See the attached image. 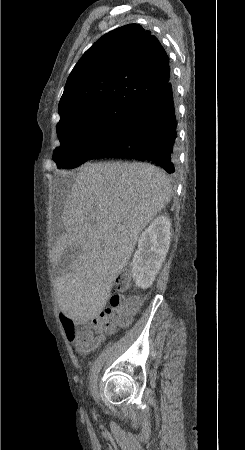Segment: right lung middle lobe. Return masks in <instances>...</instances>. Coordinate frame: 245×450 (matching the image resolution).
I'll return each instance as SVG.
<instances>
[{
  "label": "right lung middle lobe",
  "instance_id": "obj_1",
  "mask_svg": "<svg viewBox=\"0 0 245 450\" xmlns=\"http://www.w3.org/2000/svg\"><path fill=\"white\" fill-rule=\"evenodd\" d=\"M134 108L120 104H101L61 117L56 129L60 148L53 153L59 169H73L103 152L126 129Z\"/></svg>",
  "mask_w": 245,
  "mask_h": 450
}]
</instances>
